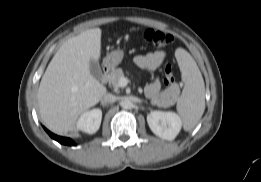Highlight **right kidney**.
Wrapping results in <instances>:
<instances>
[{"mask_svg":"<svg viewBox=\"0 0 261 182\" xmlns=\"http://www.w3.org/2000/svg\"><path fill=\"white\" fill-rule=\"evenodd\" d=\"M101 120V109H92L81 114L77 121V128L88 134H94L99 129Z\"/></svg>","mask_w":261,"mask_h":182,"instance_id":"obj_1","label":"right kidney"}]
</instances>
